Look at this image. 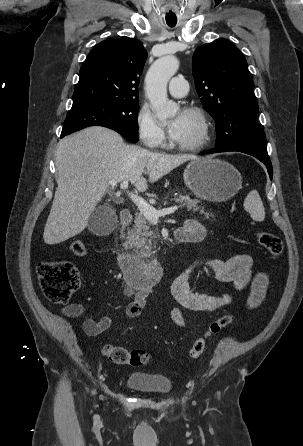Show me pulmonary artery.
Instances as JSON below:
<instances>
[{
	"instance_id": "1",
	"label": "pulmonary artery",
	"mask_w": 303,
	"mask_h": 446,
	"mask_svg": "<svg viewBox=\"0 0 303 446\" xmlns=\"http://www.w3.org/2000/svg\"><path fill=\"white\" fill-rule=\"evenodd\" d=\"M168 90L172 97H184L188 92V83L183 77H173L169 82Z\"/></svg>"
}]
</instances>
